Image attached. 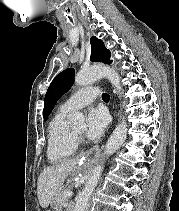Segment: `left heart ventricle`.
<instances>
[{
  "mask_svg": "<svg viewBox=\"0 0 179 211\" xmlns=\"http://www.w3.org/2000/svg\"><path fill=\"white\" fill-rule=\"evenodd\" d=\"M74 131H75L77 134L81 135V134H83V132H84V128H83V127L75 128Z\"/></svg>",
  "mask_w": 179,
  "mask_h": 211,
  "instance_id": "b2bd125f",
  "label": "left heart ventricle"
}]
</instances>
